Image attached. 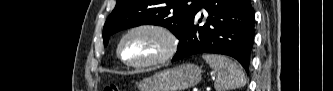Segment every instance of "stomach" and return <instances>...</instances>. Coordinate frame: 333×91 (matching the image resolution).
<instances>
[{"mask_svg": "<svg viewBox=\"0 0 333 91\" xmlns=\"http://www.w3.org/2000/svg\"><path fill=\"white\" fill-rule=\"evenodd\" d=\"M201 69L195 64H181L143 79L138 86L141 91H183L197 85Z\"/></svg>", "mask_w": 333, "mask_h": 91, "instance_id": "0dacf381", "label": "stomach"}]
</instances>
